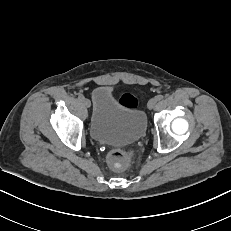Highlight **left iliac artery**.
I'll use <instances>...</instances> for the list:
<instances>
[{
    "mask_svg": "<svg viewBox=\"0 0 231 231\" xmlns=\"http://www.w3.org/2000/svg\"><path fill=\"white\" fill-rule=\"evenodd\" d=\"M156 98H157V100H162L164 98V96L163 95H157Z\"/></svg>",
    "mask_w": 231,
    "mask_h": 231,
    "instance_id": "obj_1",
    "label": "left iliac artery"
}]
</instances>
